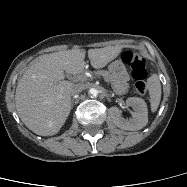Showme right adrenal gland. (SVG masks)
<instances>
[{
  "mask_svg": "<svg viewBox=\"0 0 187 187\" xmlns=\"http://www.w3.org/2000/svg\"><path fill=\"white\" fill-rule=\"evenodd\" d=\"M73 105H74V101L72 100V102H71V108H73Z\"/></svg>",
  "mask_w": 187,
  "mask_h": 187,
  "instance_id": "2a0ac1e0",
  "label": "right adrenal gland"
}]
</instances>
